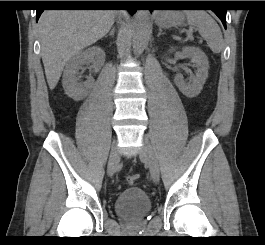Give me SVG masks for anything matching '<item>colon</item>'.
Here are the masks:
<instances>
[{"label": "colon", "instance_id": "1", "mask_svg": "<svg viewBox=\"0 0 265 245\" xmlns=\"http://www.w3.org/2000/svg\"><path fill=\"white\" fill-rule=\"evenodd\" d=\"M140 178V175L138 173L132 174L128 176V181L130 183L136 182Z\"/></svg>", "mask_w": 265, "mask_h": 245}]
</instances>
